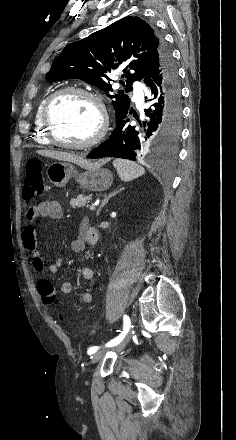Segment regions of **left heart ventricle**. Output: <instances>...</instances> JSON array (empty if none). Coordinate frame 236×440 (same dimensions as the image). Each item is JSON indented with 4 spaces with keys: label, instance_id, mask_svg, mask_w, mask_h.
<instances>
[{
    "label": "left heart ventricle",
    "instance_id": "b2bd125f",
    "mask_svg": "<svg viewBox=\"0 0 236 440\" xmlns=\"http://www.w3.org/2000/svg\"><path fill=\"white\" fill-rule=\"evenodd\" d=\"M50 122L58 140L78 144L89 140L95 134L99 116L96 106L90 99L69 94L53 103Z\"/></svg>",
    "mask_w": 236,
    "mask_h": 440
}]
</instances>
